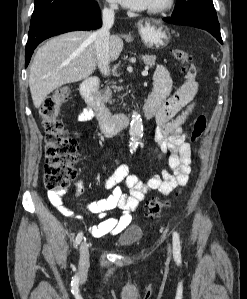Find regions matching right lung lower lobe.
Masks as SVG:
<instances>
[{
  "label": "right lung lower lobe",
  "mask_w": 247,
  "mask_h": 299,
  "mask_svg": "<svg viewBox=\"0 0 247 299\" xmlns=\"http://www.w3.org/2000/svg\"><path fill=\"white\" fill-rule=\"evenodd\" d=\"M100 9L96 2L65 9L30 26L25 49V67L34 49L43 40L69 31L93 30L101 27Z\"/></svg>",
  "instance_id": "right-lung-lower-lobe-1"
}]
</instances>
